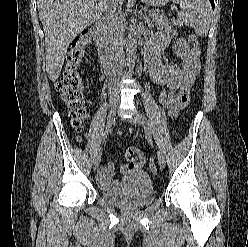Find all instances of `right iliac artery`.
I'll list each match as a JSON object with an SVG mask.
<instances>
[{
  "mask_svg": "<svg viewBox=\"0 0 248 247\" xmlns=\"http://www.w3.org/2000/svg\"><path fill=\"white\" fill-rule=\"evenodd\" d=\"M114 121H115L114 114L113 115L110 114L108 116L107 125H106L105 131L103 133L102 143L105 142L107 136L109 135V133H111L112 125H113Z\"/></svg>",
  "mask_w": 248,
  "mask_h": 247,
  "instance_id": "obj_1",
  "label": "right iliac artery"
}]
</instances>
